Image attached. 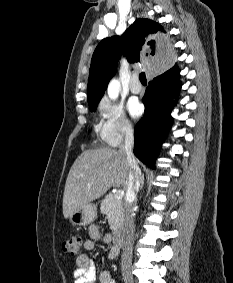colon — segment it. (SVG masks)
<instances>
[{
	"mask_svg": "<svg viewBox=\"0 0 233 283\" xmlns=\"http://www.w3.org/2000/svg\"><path fill=\"white\" fill-rule=\"evenodd\" d=\"M82 238L78 235L72 236L62 244V249L72 256H78L81 253Z\"/></svg>",
	"mask_w": 233,
	"mask_h": 283,
	"instance_id": "1",
	"label": "colon"
}]
</instances>
